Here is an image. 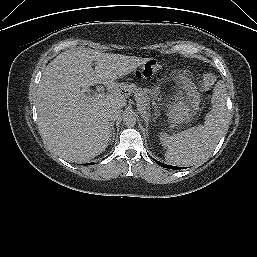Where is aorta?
I'll return each mask as SVG.
<instances>
[{"mask_svg":"<svg viewBox=\"0 0 257 257\" xmlns=\"http://www.w3.org/2000/svg\"><path fill=\"white\" fill-rule=\"evenodd\" d=\"M136 121L137 115L134 111H128L123 115V123L128 127L134 126Z\"/></svg>","mask_w":257,"mask_h":257,"instance_id":"762f6f07","label":"aorta"}]
</instances>
